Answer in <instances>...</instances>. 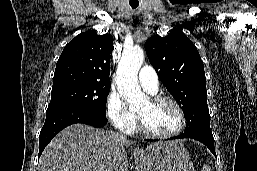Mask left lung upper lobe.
Instances as JSON below:
<instances>
[{
    "label": "left lung upper lobe",
    "mask_w": 257,
    "mask_h": 171,
    "mask_svg": "<svg viewBox=\"0 0 257 171\" xmlns=\"http://www.w3.org/2000/svg\"><path fill=\"white\" fill-rule=\"evenodd\" d=\"M145 49L160 80L185 113V132H211L204 65L195 45L174 31L166 37L152 36Z\"/></svg>",
    "instance_id": "5c2ea615"
}]
</instances>
